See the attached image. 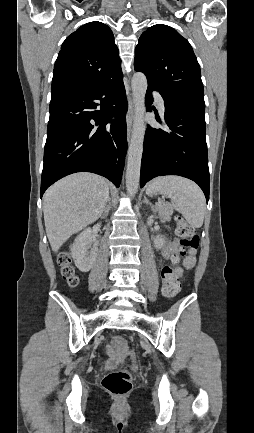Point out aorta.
<instances>
[{
  "label": "aorta",
  "instance_id": "obj_1",
  "mask_svg": "<svg viewBox=\"0 0 254 433\" xmlns=\"http://www.w3.org/2000/svg\"><path fill=\"white\" fill-rule=\"evenodd\" d=\"M147 86V78L143 73L137 72L133 75L131 87L135 116L133 121L131 141L128 149L126 169V189L130 196H134L137 193L140 181L143 141L146 130L144 114L146 111L145 95Z\"/></svg>",
  "mask_w": 254,
  "mask_h": 433
}]
</instances>
